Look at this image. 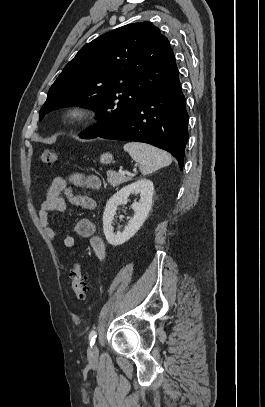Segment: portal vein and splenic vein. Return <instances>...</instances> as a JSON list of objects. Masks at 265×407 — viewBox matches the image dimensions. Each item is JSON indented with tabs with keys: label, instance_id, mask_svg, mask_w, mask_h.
<instances>
[{
	"label": "portal vein and splenic vein",
	"instance_id": "18ae733b",
	"mask_svg": "<svg viewBox=\"0 0 265 407\" xmlns=\"http://www.w3.org/2000/svg\"><path fill=\"white\" fill-rule=\"evenodd\" d=\"M119 173H120L121 175H124V174H128V171H122V170H120Z\"/></svg>",
	"mask_w": 265,
	"mask_h": 407
}]
</instances>
